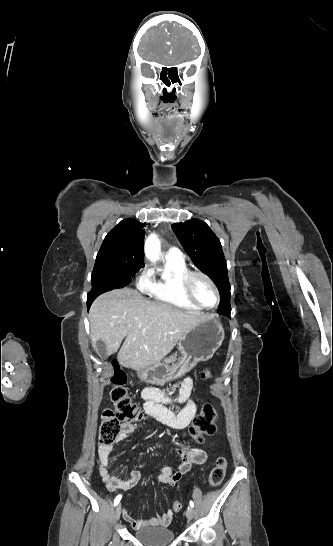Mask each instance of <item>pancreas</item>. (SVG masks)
I'll return each mask as SVG.
<instances>
[{
	"label": "pancreas",
	"mask_w": 333,
	"mask_h": 546,
	"mask_svg": "<svg viewBox=\"0 0 333 546\" xmlns=\"http://www.w3.org/2000/svg\"><path fill=\"white\" fill-rule=\"evenodd\" d=\"M174 361H176V356H170V357L165 359V362H167V363H171V362H174Z\"/></svg>",
	"instance_id": "pancreas-1"
}]
</instances>
